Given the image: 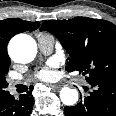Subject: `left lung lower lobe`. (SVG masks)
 Returning <instances> with one entry per match:
<instances>
[{
	"label": "left lung lower lobe",
	"instance_id": "left-lung-lower-lobe-1",
	"mask_svg": "<svg viewBox=\"0 0 116 116\" xmlns=\"http://www.w3.org/2000/svg\"><path fill=\"white\" fill-rule=\"evenodd\" d=\"M94 90L72 107H65L66 116H116V80L90 84Z\"/></svg>",
	"mask_w": 116,
	"mask_h": 116
}]
</instances>
